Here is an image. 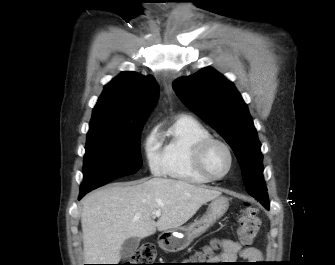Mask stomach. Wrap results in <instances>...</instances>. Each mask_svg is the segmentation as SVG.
<instances>
[{"label": "stomach", "mask_w": 335, "mask_h": 265, "mask_svg": "<svg viewBox=\"0 0 335 265\" xmlns=\"http://www.w3.org/2000/svg\"><path fill=\"white\" fill-rule=\"evenodd\" d=\"M228 207L229 199L227 197H216L211 201L206 214L201 218L186 227L161 233L158 237L160 248L167 252H178L185 249L195 238L201 236L219 220L226 213Z\"/></svg>", "instance_id": "1"}]
</instances>
